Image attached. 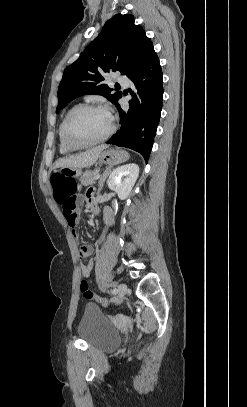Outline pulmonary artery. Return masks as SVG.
Here are the masks:
<instances>
[{"mask_svg": "<svg viewBox=\"0 0 247 407\" xmlns=\"http://www.w3.org/2000/svg\"><path fill=\"white\" fill-rule=\"evenodd\" d=\"M116 81L122 85H129L130 79L125 75H117Z\"/></svg>", "mask_w": 247, "mask_h": 407, "instance_id": "e3ab8cb5", "label": "pulmonary artery"}]
</instances>
